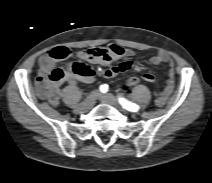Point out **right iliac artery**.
I'll return each instance as SVG.
<instances>
[{"instance_id":"obj_1","label":"right iliac artery","mask_w":212,"mask_h":183,"mask_svg":"<svg viewBox=\"0 0 212 183\" xmlns=\"http://www.w3.org/2000/svg\"><path fill=\"white\" fill-rule=\"evenodd\" d=\"M100 91L106 93L108 91V85L104 84L100 86Z\"/></svg>"}]
</instances>
